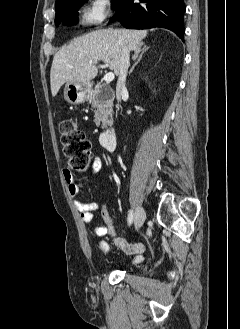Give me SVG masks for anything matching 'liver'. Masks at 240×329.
<instances>
[{
    "mask_svg": "<svg viewBox=\"0 0 240 329\" xmlns=\"http://www.w3.org/2000/svg\"><path fill=\"white\" fill-rule=\"evenodd\" d=\"M146 36L145 30L102 29L74 39L53 58L50 71L52 96L57 95L64 83H89L97 76L96 63L101 60L119 74L122 47L136 50ZM90 61L94 64L89 65Z\"/></svg>",
    "mask_w": 240,
    "mask_h": 329,
    "instance_id": "1",
    "label": "liver"
}]
</instances>
